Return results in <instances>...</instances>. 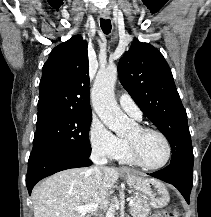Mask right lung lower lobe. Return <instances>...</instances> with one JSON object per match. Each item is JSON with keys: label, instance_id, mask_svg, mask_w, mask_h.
<instances>
[{"label": "right lung lower lobe", "instance_id": "98d812e1", "mask_svg": "<svg viewBox=\"0 0 211 217\" xmlns=\"http://www.w3.org/2000/svg\"><path fill=\"white\" fill-rule=\"evenodd\" d=\"M89 156L55 148L32 150L26 175V186L29 194L34 185L47 176L70 168L90 166L92 162Z\"/></svg>", "mask_w": 211, "mask_h": 217}]
</instances>
